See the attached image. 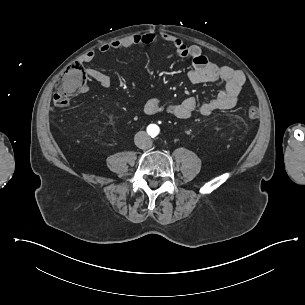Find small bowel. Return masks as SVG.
I'll use <instances>...</instances> for the list:
<instances>
[{
	"label": "small bowel",
	"mask_w": 305,
	"mask_h": 305,
	"mask_svg": "<svg viewBox=\"0 0 305 305\" xmlns=\"http://www.w3.org/2000/svg\"><path fill=\"white\" fill-rule=\"evenodd\" d=\"M157 37H161L164 41L172 45L174 55L192 61V68L188 72V78L192 83H214L222 81L225 83V87L217 95L203 103H198L194 97H188L180 102L174 103H164L159 98L153 97L145 103V113L156 114L164 112L179 119L187 120L196 113L209 116L215 111L228 110L237 104L239 94L246 80L244 74L228 66L216 65L203 54L199 46L188 45L169 33L146 32L115 40L100 46L98 49L88 51L81 57L80 61L83 64H87L97 56L111 50H123L131 46L148 45L155 41ZM85 72L90 79L98 82L101 87L109 88L111 86V78L105 73L90 67H87ZM87 91V86L82 87V93H86Z\"/></svg>",
	"instance_id": "1"
}]
</instances>
